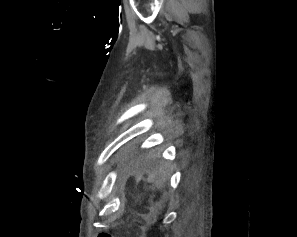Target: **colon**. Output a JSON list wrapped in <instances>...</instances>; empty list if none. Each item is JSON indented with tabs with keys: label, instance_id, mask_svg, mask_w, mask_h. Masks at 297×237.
I'll return each mask as SVG.
<instances>
[{
	"label": "colon",
	"instance_id": "5ec220e1",
	"mask_svg": "<svg viewBox=\"0 0 297 237\" xmlns=\"http://www.w3.org/2000/svg\"><path fill=\"white\" fill-rule=\"evenodd\" d=\"M99 237H112V236L108 233H101ZM141 237H143V236H141Z\"/></svg>",
	"mask_w": 297,
	"mask_h": 237
}]
</instances>
